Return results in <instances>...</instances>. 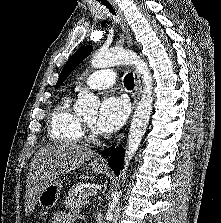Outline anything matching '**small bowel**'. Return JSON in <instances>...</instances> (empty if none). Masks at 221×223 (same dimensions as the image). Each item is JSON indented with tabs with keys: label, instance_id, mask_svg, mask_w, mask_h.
<instances>
[{
	"label": "small bowel",
	"instance_id": "c3829d8e",
	"mask_svg": "<svg viewBox=\"0 0 221 223\" xmlns=\"http://www.w3.org/2000/svg\"><path fill=\"white\" fill-rule=\"evenodd\" d=\"M76 216L74 212H59L52 218L50 223H73Z\"/></svg>",
	"mask_w": 221,
	"mask_h": 223
}]
</instances>
